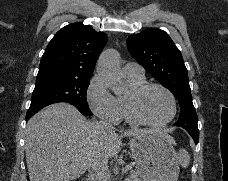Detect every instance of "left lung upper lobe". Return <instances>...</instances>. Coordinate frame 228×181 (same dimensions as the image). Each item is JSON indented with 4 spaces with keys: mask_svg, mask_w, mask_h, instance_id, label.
<instances>
[{
    "mask_svg": "<svg viewBox=\"0 0 228 181\" xmlns=\"http://www.w3.org/2000/svg\"><path fill=\"white\" fill-rule=\"evenodd\" d=\"M127 47L132 57L177 98L181 111L174 126L198 129L187 69L181 52L168 34L149 28L129 36Z\"/></svg>",
    "mask_w": 228,
    "mask_h": 181,
    "instance_id": "left-lung-upper-lobe-1",
    "label": "left lung upper lobe"
}]
</instances>
